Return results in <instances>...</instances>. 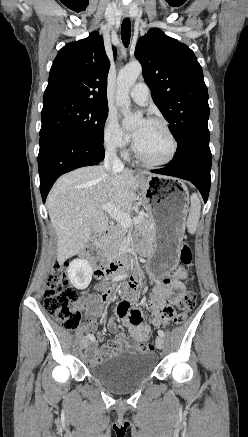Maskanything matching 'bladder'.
I'll list each match as a JSON object with an SVG mask.
<instances>
[{
	"label": "bladder",
	"instance_id": "obj_1",
	"mask_svg": "<svg viewBox=\"0 0 248 437\" xmlns=\"http://www.w3.org/2000/svg\"><path fill=\"white\" fill-rule=\"evenodd\" d=\"M155 365L150 353L125 352L91 366L89 373L109 390L124 393L146 380Z\"/></svg>",
	"mask_w": 248,
	"mask_h": 437
}]
</instances>
